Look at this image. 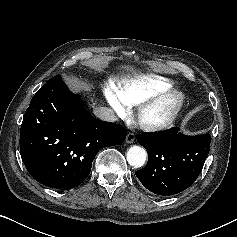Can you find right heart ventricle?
<instances>
[{"label": "right heart ventricle", "mask_w": 237, "mask_h": 237, "mask_svg": "<svg viewBox=\"0 0 237 237\" xmlns=\"http://www.w3.org/2000/svg\"><path fill=\"white\" fill-rule=\"evenodd\" d=\"M172 87L169 80L156 75L123 78L115 85L119 95L130 105H137Z\"/></svg>", "instance_id": "e07e8e85"}]
</instances>
